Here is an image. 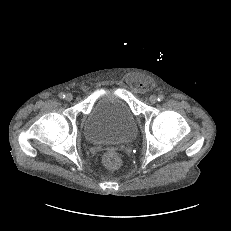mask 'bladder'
<instances>
[{
  "label": "bladder",
  "mask_w": 231,
  "mask_h": 231,
  "mask_svg": "<svg viewBox=\"0 0 231 231\" xmlns=\"http://www.w3.org/2000/svg\"><path fill=\"white\" fill-rule=\"evenodd\" d=\"M83 132L92 144L125 145L138 135L137 120L128 104L114 94L100 96L86 116Z\"/></svg>",
  "instance_id": "obj_1"
}]
</instances>
